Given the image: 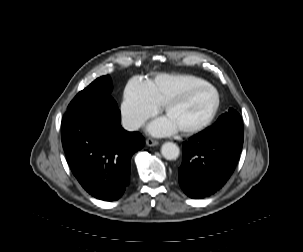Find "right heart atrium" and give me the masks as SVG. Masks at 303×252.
I'll return each instance as SVG.
<instances>
[{"label": "right heart atrium", "instance_id": "d8ad5b80", "mask_svg": "<svg viewBox=\"0 0 303 252\" xmlns=\"http://www.w3.org/2000/svg\"><path fill=\"white\" fill-rule=\"evenodd\" d=\"M159 108L149 97L145 85L132 80L125 88L120 106L122 123L127 129H137L154 116Z\"/></svg>", "mask_w": 303, "mask_h": 252}]
</instances>
